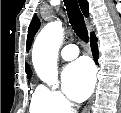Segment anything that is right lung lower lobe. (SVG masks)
I'll list each match as a JSON object with an SVG mask.
<instances>
[{
    "mask_svg": "<svg viewBox=\"0 0 121 113\" xmlns=\"http://www.w3.org/2000/svg\"><path fill=\"white\" fill-rule=\"evenodd\" d=\"M90 46H91V50L93 53V58L94 61L96 62V64H98V45H97V38L95 36L94 33H91L90 35Z\"/></svg>",
    "mask_w": 121,
    "mask_h": 113,
    "instance_id": "98d812e1",
    "label": "right lung lower lobe"
}]
</instances>
